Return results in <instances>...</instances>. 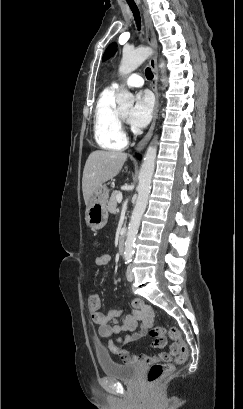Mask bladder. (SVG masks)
Returning <instances> with one entry per match:
<instances>
[{"label": "bladder", "instance_id": "1", "mask_svg": "<svg viewBox=\"0 0 243 409\" xmlns=\"http://www.w3.org/2000/svg\"><path fill=\"white\" fill-rule=\"evenodd\" d=\"M98 363L105 375L120 381H135L141 372L138 364H121L111 358H98Z\"/></svg>", "mask_w": 243, "mask_h": 409}]
</instances>
